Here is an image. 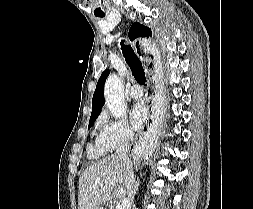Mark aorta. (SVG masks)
Instances as JSON below:
<instances>
[{
	"label": "aorta",
	"mask_w": 253,
	"mask_h": 209,
	"mask_svg": "<svg viewBox=\"0 0 253 209\" xmlns=\"http://www.w3.org/2000/svg\"><path fill=\"white\" fill-rule=\"evenodd\" d=\"M104 96L107 107L115 118H120L126 113L123 82L115 73L105 82Z\"/></svg>",
	"instance_id": "1"
}]
</instances>
